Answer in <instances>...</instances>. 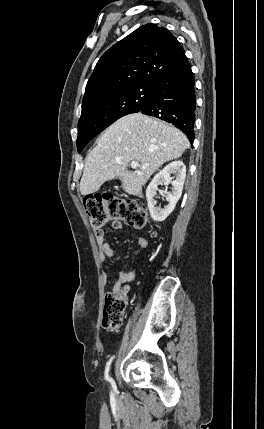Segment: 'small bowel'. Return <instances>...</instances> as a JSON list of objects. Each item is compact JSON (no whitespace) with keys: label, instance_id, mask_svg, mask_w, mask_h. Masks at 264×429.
I'll use <instances>...</instances> for the list:
<instances>
[{"label":"small bowel","instance_id":"c3829d8e","mask_svg":"<svg viewBox=\"0 0 264 429\" xmlns=\"http://www.w3.org/2000/svg\"><path fill=\"white\" fill-rule=\"evenodd\" d=\"M111 228L114 231H118L122 228V223L118 220H114L111 222ZM96 241L100 250V259L101 262H105L107 259H112L114 257V251L111 248L110 244L106 241L103 231L96 232ZM137 244L139 248L146 249L147 248V240L143 237H139L137 240ZM135 278V271H127L120 272L118 276V280L115 284L114 290H119L121 283H128L133 281Z\"/></svg>","mask_w":264,"mask_h":429}]
</instances>
